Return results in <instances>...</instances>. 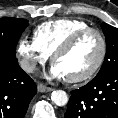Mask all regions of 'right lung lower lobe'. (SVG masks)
<instances>
[{"label": "right lung lower lobe", "instance_id": "98d812e1", "mask_svg": "<svg viewBox=\"0 0 118 118\" xmlns=\"http://www.w3.org/2000/svg\"><path fill=\"white\" fill-rule=\"evenodd\" d=\"M36 92L16 58L0 57V118H23Z\"/></svg>", "mask_w": 118, "mask_h": 118}]
</instances>
